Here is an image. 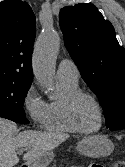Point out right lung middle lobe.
Listing matches in <instances>:
<instances>
[{"label":"right lung middle lobe","mask_w":125,"mask_h":167,"mask_svg":"<svg viewBox=\"0 0 125 167\" xmlns=\"http://www.w3.org/2000/svg\"><path fill=\"white\" fill-rule=\"evenodd\" d=\"M30 86L0 81V108L25 116L23 104Z\"/></svg>","instance_id":"1"}]
</instances>
